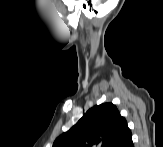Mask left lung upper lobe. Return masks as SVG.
Segmentation results:
<instances>
[{"instance_id":"obj_1","label":"left lung upper lobe","mask_w":163,"mask_h":147,"mask_svg":"<svg viewBox=\"0 0 163 147\" xmlns=\"http://www.w3.org/2000/svg\"><path fill=\"white\" fill-rule=\"evenodd\" d=\"M127 122L112 103L89 109L83 117L60 135L53 147H114Z\"/></svg>"}]
</instances>
